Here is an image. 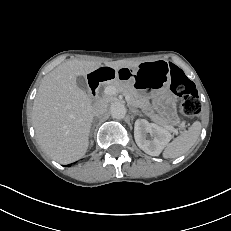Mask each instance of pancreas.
Segmentation results:
<instances>
[{
  "instance_id": "cf45deb5",
  "label": "pancreas",
  "mask_w": 231,
  "mask_h": 231,
  "mask_svg": "<svg viewBox=\"0 0 231 231\" xmlns=\"http://www.w3.org/2000/svg\"><path fill=\"white\" fill-rule=\"evenodd\" d=\"M107 85L108 86H114L119 92H121L125 95H129L130 96L129 103L132 106H134V107L144 106L145 101L138 94V92L133 88L131 83L115 79V80L110 81ZM152 120L159 123V124L164 125L162 120L157 116H153Z\"/></svg>"
}]
</instances>
